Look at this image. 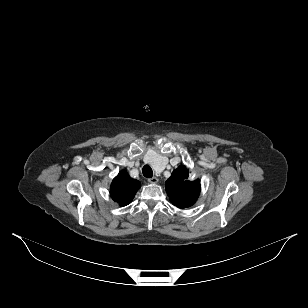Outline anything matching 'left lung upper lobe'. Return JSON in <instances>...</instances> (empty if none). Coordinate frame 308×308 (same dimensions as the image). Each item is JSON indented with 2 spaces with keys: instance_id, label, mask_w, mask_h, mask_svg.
<instances>
[{
  "instance_id": "1",
  "label": "left lung upper lobe",
  "mask_w": 308,
  "mask_h": 308,
  "mask_svg": "<svg viewBox=\"0 0 308 308\" xmlns=\"http://www.w3.org/2000/svg\"><path fill=\"white\" fill-rule=\"evenodd\" d=\"M188 177V169L185 166H179L165 184L171 202L179 208L192 206L200 193L199 180L190 181Z\"/></svg>"
}]
</instances>
